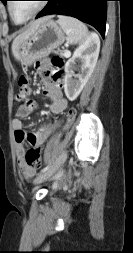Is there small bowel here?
<instances>
[{
	"label": "small bowel",
	"mask_w": 133,
	"mask_h": 253,
	"mask_svg": "<svg viewBox=\"0 0 133 253\" xmlns=\"http://www.w3.org/2000/svg\"><path fill=\"white\" fill-rule=\"evenodd\" d=\"M36 70L42 79L43 94L51 101L50 111L54 114H61L68 106V100L62 92V78L58 70L51 66L48 59H42L36 63ZM33 97L26 99V104L19 106L16 117L12 121V127L15 134V149L17 162L20 170L26 177L34 176L36 170L28 165L26 161L25 143L28 142L34 149L45 142L52 131L60 125V122L54 125H43L39 129L27 132L23 128L22 119L28 117L35 109Z\"/></svg>",
	"instance_id": "small-bowel-1"
}]
</instances>
